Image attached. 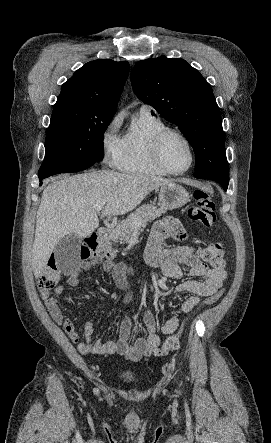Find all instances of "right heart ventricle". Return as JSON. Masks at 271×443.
Here are the masks:
<instances>
[{
    "label": "right heart ventricle",
    "instance_id": "obj_1",
    "mask_svg": "<svg viewBox=\"0 0 271 443\" xmlns=\"http://www.w3.org/2000/svg\"><path fill=\"white\" fill-rule=\"evenodd\" d=\"M165 122L151 112L140 111L122 138V151L117 167L125 172L164 176L167 173L154 161L152 142L155 135L166 128Z\"/></svg>",
    "mask_w": 271,
    "mask_h": 443
}]
</instances>
